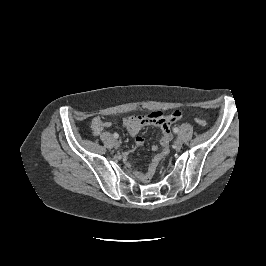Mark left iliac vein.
Returning a JSON list of instances; mask_svg holds the SVG:
<instances>
[{
    "mask_svg": "<svg viewBox=\"0 0 266 266\" xmlns=\"http://www.w3.org/2000/svg\"><path fill=\"white\" fill-rule=\"evenodd\" d=\"M182 144H183L182 140H181L180 138H178V139H176L175 142H174V147H175L176 149H180V148L182 147Z\"/></svg>",
    "mask_w": 266,
    "mask_h": 266,
    "instance_id": "4c4485c4",
    "label": "left iliac vein"
}]
</instances>
